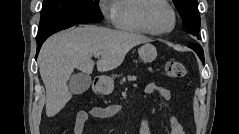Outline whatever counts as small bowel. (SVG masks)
<instances>
[{
	"label": "small bowel",
	"instance_id": "small-bowel-1",
	"mask_svg": "<svg viewBox=\"0 0 239 134\" xmlns=\"http://www.w3.org/2000/svg\"><path fill=\"white\" fill-rule=\"evenodd\" d=\"M145 92L148 95H155L163 100H169L171 93L169 89L163 86L150 84L145 88ZM121 111V106L117 104H111L107 106H98L89 110L79 111L75 118L74 134H83L85 123L90 117L99 119H109L114 117ZM139 134H150V130L144 120H140L138 123ZM169 134H184V129L181 122L176 116H172L169 122Z\"/></svg>",
	"mask_w": 239,
	"mask_h": 134
}]
</instances>
